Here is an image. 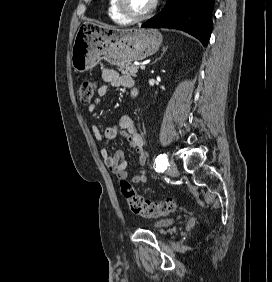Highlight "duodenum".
I'll list each match as a JSON object with an SVG mask.
<instances>
[{
    "mask_svg": "<svg viewBox=\"0 0 272 282\" xmlns=\"http://www.w3.org/2000/svg\"><path fill=\"white\" fill-rule=\"evenodd\" d=\"M137 93H138V92H137L136 87H133V88H132V96H133V97H136V96H137Z\"/></svg>",
    "mask_w": 272,
    "mask_h": 282,
    "instance_id": "duodenum-1",
    "label": "duodenum"
}]
</instances>
